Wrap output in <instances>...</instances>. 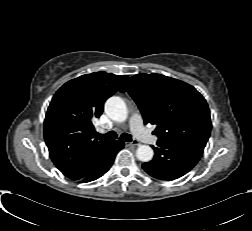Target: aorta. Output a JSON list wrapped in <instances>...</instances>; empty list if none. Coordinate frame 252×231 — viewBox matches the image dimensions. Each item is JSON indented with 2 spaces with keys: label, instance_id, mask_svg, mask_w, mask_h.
Returning <instances> with one entry per match:
<instances>
[{
  "label": "aorta",
  "instance_id": "762f6f07",
  "mask_svg": "<svg viewBox=\"0 0 252 231\" xmlns=\"http://www.w3.org/2000/svg\"><path fill=\"white\" fill-rule=\"evenodd\" d=\"M105 112L109 118L116 122H124L128 117V111L122 98L113 96L105 103ZM154 155L153 149L147 145H140L136 150V157L142 162H149Z\"/></svg>",
  "mask_w": 252,
  "mask_h": 231
}]
</instances>
